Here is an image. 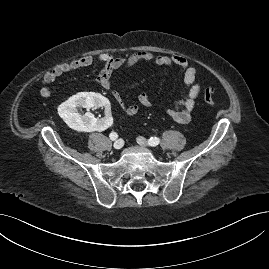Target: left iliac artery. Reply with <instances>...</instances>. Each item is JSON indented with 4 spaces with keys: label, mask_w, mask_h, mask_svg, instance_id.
Masks as SVG:
<instances>
[{
    "label": "left iliac artery",
    "mask_w": 269,
    "mask_h": 269,
    "mask_svg": "<svg viewBox=\"0 0 269 269\" xmlns=\"http://www.w3.org/2000/svg\"><path fill=\"white\" fill-rule=\"evenodd\" d=\"M159 142H160V139L157 138V137H151V138L148 140V144H149L150 146H156V145L159 144Z\"/></svg>",
    "instance_id": "1"
}]
</instances>
